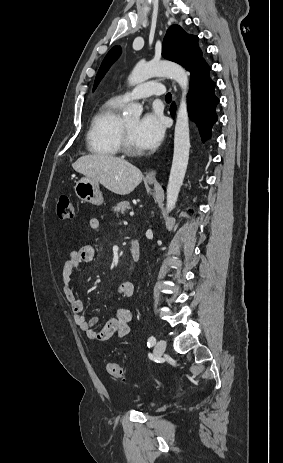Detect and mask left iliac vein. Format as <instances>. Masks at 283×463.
Wrapping results in <instances>:
<instances>
[{
	"mask_svg": "<svg viewBox=\"0 0 283 463\" xmlns=\"http://www.w3.org/2000/svg\"><path fill=\"white\" fill-rule=\"evenodd\" d=\"M166 349V342L163 339L158 340L154 348V354L157 357H161Z\"/></svg>",
	"mask_w": 283,
	"mask_h": 463,
	"instance_id": "left-iliac-vein-1",
	"label": "left iliac vein"
}]
</instances>
